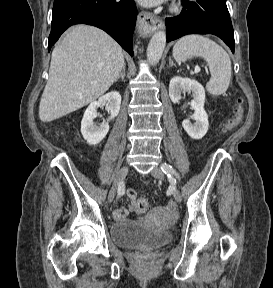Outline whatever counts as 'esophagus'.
<instances>
[{"label": "esophagus", "mask_w": 273, "mask_h": 288, "mask_svg": "<svg viewBox=\"0 0 273 288\" xmlns=\"http://www.w3.org/2000/svg\"><path fill=\"white\" fill-rule=\"evenodd\" d=\"M137 28L140 33L148 34L164 28V22L161 18L154 16L150 12L141 11L138 14Z\"/></svg>", "instance_id": "esophagus-1"}]
</instances>
